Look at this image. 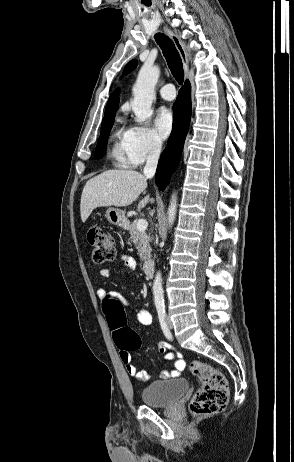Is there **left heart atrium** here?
Returning <instances> with one entry per match:
<instances>
[{"mask_svg": "<svg viewBox=\"0 0 294 462\" xmlns=\"http://www.w3.org/2000/svg\"><path fill=\"white\" fill-rule=\"evenodd\" d=\"M173 125L174 118L172 112L168 109L160 110L155 120V126L159 135L163 139L167 138L170 135L173 129Z\"/></svg>", "mask_w": 294, "mask_h": 462, "instance_id": "left-heart-atrium-1", "label": "left heart atrium"}]
</instances>
